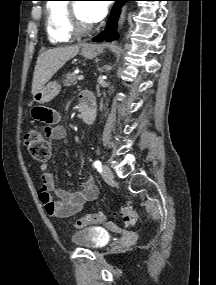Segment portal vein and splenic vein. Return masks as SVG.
<instances>
[{
  "mask_svg": "<svg viewBox=\"0 0 216 285\" xmlns=\"http://www.w3.org/2000/svg\"><path fill=\"white\" fill-rule=\"evenodd\" d=\"M84 79V75H79L78 76V80H83Z\"/></svg>",
  "mask_w": 216,
  "mask_h": 285,
  "instance_id": "1",
  "label": "portal vein and splenic vein"
}]
</instances>
